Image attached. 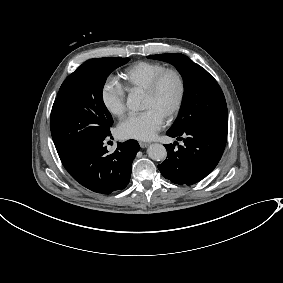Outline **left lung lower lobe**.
Wrapping results in <instances>:
<instances>
[{"mask_svg":"<svg viewBox=\"0 0 283 283\" xmlns=\"http://www.w3.org/2000/svg\"><path fill=\"white\" fill-rule=\"evenodd\" d=\"M227 126L201 127L183 132H167L170 137L183 140L175 149L165 145L167 159L158 169L171 182L192 185L205 178L218 164L227 140ZM184 137V138H183ZM178 144V143H177Z\"/></svg>","mask_w":283,"mask_h":283,"instance_id":"0a47b994","label":"left lung lower lobe"}]
</instances>
